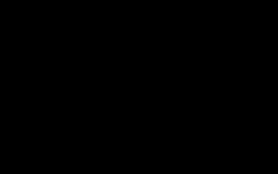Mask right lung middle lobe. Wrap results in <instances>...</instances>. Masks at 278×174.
I'll return each instance as SVG.
<instances>
[{
    "instance_id": "obj_1",
    "label": "right lung middle lobe",
    "mask_w": 278,
    "mask_h": 174,
    "mask_svg": "<svg viewBox=\"0 0 278 174\" xmlns=\"http://www.w3.org/2000/svg\"><path fill=\"white\" fill-rule=\"evenodd\" d=\"M118 26L99 23L78 29L62 46L52 67L54 79L66 72L90 76H115L111 52L119 37Z\"/></svg>"
}]
</instances>
